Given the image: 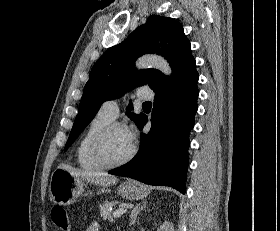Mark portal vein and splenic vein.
I'll return each mask as SVG.
<instances>
[{"instance_id": "18ae733b", "label": "portal vein and splenic vein", "mask_w": 280, "mask_h": 231, "mask_svg": "<svg viewBox=\"0 0 280 231\" xmlns=\"http://www.w3.org/2000/svg\"><path fill=\"white\" fill-rule=\"evenodd\" d=\"M126 209L124 207H120V209H115L113 213V217H119V215H122V213H125Z\"/></svg>"}]
</instances>
